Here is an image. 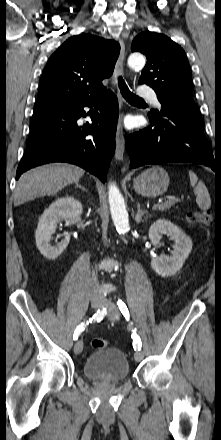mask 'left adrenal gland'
Segmentation results:
<instances>
[{"instance_id":"left-adrenal-gland-1","label":"left adrenal gland","mask_w":221,"mask_h":440,"mask_svg":"<svg viewBox=\"0 0 221 440\" xmlns=\"http://www.w3.org/2000/svg\"><path fill=\"white\" fill-rule=\"evenodd\" d=\"M147 214V211H145V210H142L141 209V206H140V203H138V205H137V214H136V216H135V221H136V223H141V221H142V217L144 216V215H146Z\"/></svg>"}]
</instances>
